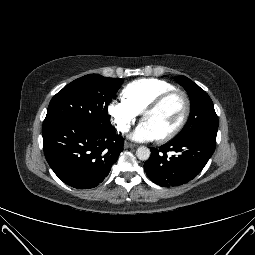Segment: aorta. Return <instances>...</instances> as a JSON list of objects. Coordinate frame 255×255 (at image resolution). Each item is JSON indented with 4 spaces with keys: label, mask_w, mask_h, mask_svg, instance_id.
<instances>
[{
    "label": "aorta",
    "mask_w": 255,
    "mask_h": 255,
    "mask_svg": "<svg viewBox=\"0 0 255 255\" xmlns=\"http://www.w3.org/2000/svg\"><path fill=\"white\" fill-rule=\"evenodd\" d=\"M151 155L150 149L145 146H140L136 151V156L139 160L146 161Z\"/></svg>",
    "instance_id": "aorta-1"
}]
</instances>
